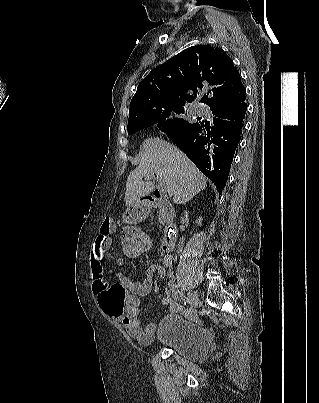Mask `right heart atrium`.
I'll use <instances>...</instances> for the list:
<instances>
[{"label":"right heart atrium","mask_w":319,"mask_h":403,"mask_svg":"<svg viewBox=\"0 0 319 403\" xmlns=\"http://www.w3.org/2000/svg\"><path fill=\"white\" fill-rule=\"evenodd\" d=\"M158 125H159V128H160V133L165 134L166 131L171 126V120L169 118H164V119L160 120Z\"/></svg>","instance_id":"right-heart-atrium-1"}]
</instances>
